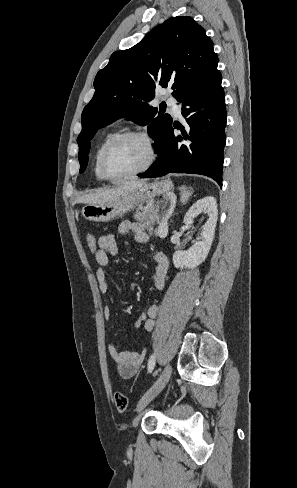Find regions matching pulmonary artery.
Returning a JSON list of instances; mask_svg holds the SVG:
<instances>
[{
	"label": "pulmonary artery",
	"instance_id": "e3ab8cb5",
	"mask_svg": "<svg viewBox=\"0 0 297 488\" xmlns=\"http://www.w3.org/2000/svg\"><path fill=\"white\" fill-rule=\"evenodd\" d=\"M168 105L172 108L174 114L179 117L182 112L181 104L173 97L167 99Z\"/></svg>",
	"mask_w": 297,
	"mask_h": 488
}]
</instances>
